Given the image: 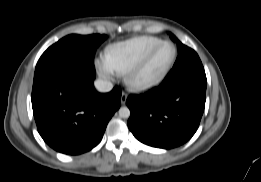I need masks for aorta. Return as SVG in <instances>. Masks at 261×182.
Masks as SVG:
<instances>
[{"label": "aorta", "mask_w": 261, "mask_h": 182, "mask_svg": "<svg viewBox=\"0 0 261 182\" xmlns=\"http://www.w3.org/2000/svg\"><path fill=\"white\" fill-rule=\"evenodd\" d=\"M119 116L121 118H129L130 117V110L128 107H121L119 109Z\"/></svg>", "instance_id": "aorta-1"}]
</instances>
